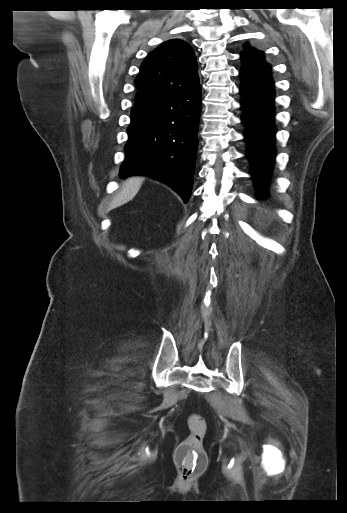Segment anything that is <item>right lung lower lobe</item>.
I'll use <instances>...</instances> for the list:
<instances>
[{"instance_id":"98d812e1","label":"right lung lower lobe","mask_w":347,"mask_h":513,"mask_svg":"<svg viewBox=\"0 0 347 513\" xmlns=\"http://www.w3.org/2000/svg\"><path fill=\"white\" fill-rule=\"evenodd\" d=\"M201 87L143 103L131 111L120 177L140 174L191 196L198 147Z\"/></svg>"}]
</instances>
